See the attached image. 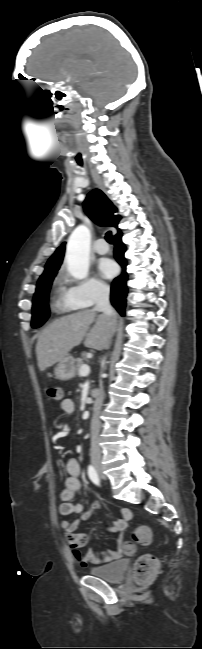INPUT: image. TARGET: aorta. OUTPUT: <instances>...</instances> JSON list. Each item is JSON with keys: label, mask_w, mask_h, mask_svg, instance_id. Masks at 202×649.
I'll use <instances>...</instances> for the list:
<instances>
[{"label": "aorta", "mask_w": 202, "mask_h": 649, "mask_svg": "<svg viewBox=\"0 0 202 649\" xmlns=\"http://www.w3.org/2000/svg\"><path fill=\"white\" fill-rule=\"evenodd\" d=\"M90 241V231L84 225L78 226L68 240L66 267L76 279H85L88 276Z\"/></svg>", "instance_id": "aorta-1"}]
</instances>
